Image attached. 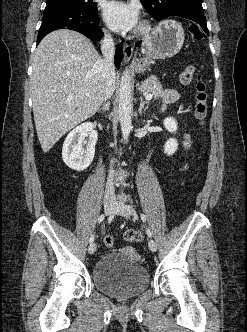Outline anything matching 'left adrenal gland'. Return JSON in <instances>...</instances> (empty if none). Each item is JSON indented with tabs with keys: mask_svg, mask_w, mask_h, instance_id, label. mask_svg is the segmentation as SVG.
I'll use <instances>...</instances> for the list:
<instances>
[{
	"mask_svg": "<svg viewBox=\"0 0 247 332\" xmlns=\"http://www.w3.org/2000/svg\"><path fill=\"white\" fill-rule=\"evenodd\" d=\"M149 102L148 101H144L142 97H140V107H139V114L142 115L143 114V109L144 107H148Z\"/></svg>",
	"mask_w": 247,
	"mask_h": 332,
	"instance_id": "left-adrenal-gland-1",
	"label": "left adrenal gland"
}]
</instances>
